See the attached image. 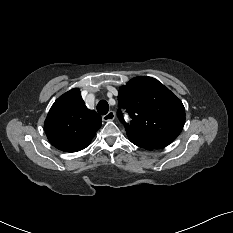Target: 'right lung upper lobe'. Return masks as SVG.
Returning <instances> with one entry per match:
<instances>
[{"label": "right lung upper lobe", "instance_id": "cb5924a9", "mask_svg": "<svg viewBox=\"0 0 233 233\" xmlns=\"http://www.w3.org/2000/svg\"><path fill=\"white\" fill-rule=\"evenodd\" d=\"M101 124L100 115L86 107L80 90L75 88L54 102L44 129L48 140L57 149L76 152L89 145Z\"/></svg>", "mask_w": 233, "mask_h": 233}]
</instances>
